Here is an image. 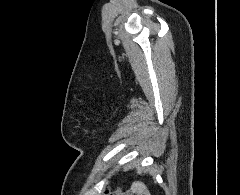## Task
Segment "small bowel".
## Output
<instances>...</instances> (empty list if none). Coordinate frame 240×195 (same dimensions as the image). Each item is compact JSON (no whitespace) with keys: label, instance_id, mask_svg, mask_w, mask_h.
<instances>
[{"label":"small bowel","instance_id":"c3829d8e","mask_svg":"<svg viewBox=\"0 0 240 195\" xmlns=\"http://www.w3.org/2000/svg\"><path fill=\"white\" fill-rule=\"evenodd\" d=\"M121 195H150L149 192H147L145 186H131V188L123 193Z\"/></svg>","mask_w":240,"mask_h":195}]
</instances>
